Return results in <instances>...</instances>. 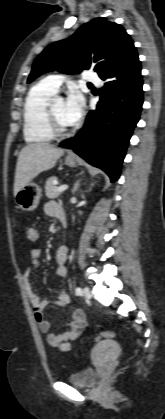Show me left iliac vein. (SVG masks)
<instances>
[{
	"label": "left iliac vein",
	"mask_w": 165,
	"mask_h": 419,
	"mask_svg": "<svg viewBox=\"0 0 165 419\" xmlns=\"http://www.w3.org/2000/svg\"><path fill=\"white\" fill-rule=\"evenodd\" d=\"M91 297H92V295H91V292H90L89 288H88V287H85V288L83 289V298H84L85 300H90V299H91Z\"/></svg>",
	"instance_id": "left-iliac-vein-1"
}]
</instances>
